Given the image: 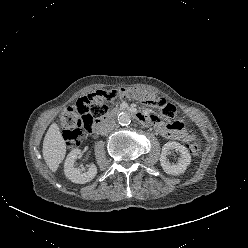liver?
Returning a JSON list of instances; mask_svg holds the SVG:
<instances>
[{"mask_svg": "<svg viewBox=\"0 0 248 248\" xmlns=\"http://www.w3.org/2000/svg\"><path fill=\"white\" fill-rule=\"evenodd\" d=\"M43 157L52 172H55L66 155V143L57 125L52 124L43 140Z\"/></svg>", "mask_w": 248, "mask_h": 248, "instance_id": "obj_1", "label": "liver"}]
</instances>
